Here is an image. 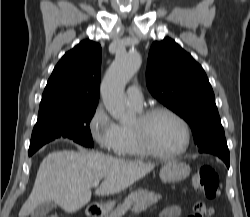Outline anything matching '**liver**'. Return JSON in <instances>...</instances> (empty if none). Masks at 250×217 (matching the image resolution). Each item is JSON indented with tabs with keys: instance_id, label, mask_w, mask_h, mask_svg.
Segmentation results:
<instances>
[{
	"instance_id": "6515ba94",
	"label": "liver",
	"mask_w": 250,
	"mask_h": 217,
	"mask_svg": "<svg viewBox=\"0 0 250 217\" xmlns=\"http://www.w3.org/2000/svg\"><path fill=\"white\" fill-rule=\"evenodd\" d=\"M155 165L127 161L87 151H56L40 164L33 190L19 217H26L38 206L54 202L74 213L91 200V185L103 179L95 190L98 196L119 193L143 178Z\"/></svg>"
}]
</instances>
